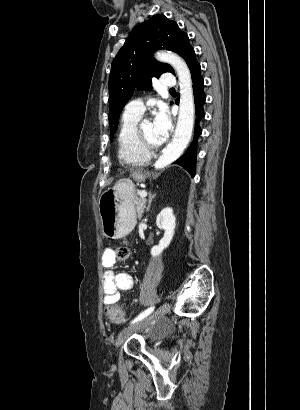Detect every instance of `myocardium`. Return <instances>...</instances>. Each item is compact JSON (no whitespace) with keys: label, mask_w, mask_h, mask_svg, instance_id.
<instances>
[{"label":"myocardium","mask_w":300,"mask_h":410,"mask_svg":"<svg viewBox=\"0 0 300 410\" xmlns=\"http://www.w3.org/2000/svg\"><path fill=\"white\" fill-rule=\"evenodd\" d=\"M145 121H146V120H139V122L137 123V126H136V140H137L139 146H140L144 151L150 153L151 151H156V150H158V149L162 146V143L152 144V143H150V142L147 140V138H146V136H145V134H144V132H143V123H144Z\"/></svg>","instance_id":"myocardium-1"}]
</instances>
